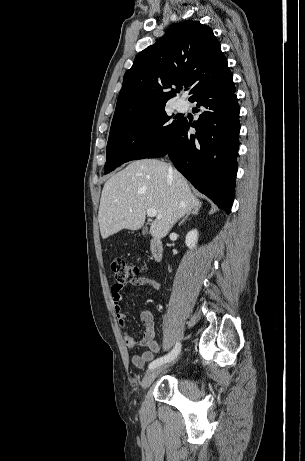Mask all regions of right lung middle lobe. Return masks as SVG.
Instances as JSON below:
<instances>
[{"label":"right lung middle lobe","mask_w":305,"mask_h":461,"mask_svg":"<svg viewBox=\"0 0 305 461\" xmlns=\"http://www.w3.org/2000/svg\"><path fill=\"white\" fill-rule=\"evenodd\" d=\"M164 107L127 117L111 126L105 174L125 162L146 158L162 147L180 122L172 120Z\"/></svg>","instance_id":"1"}]
</instances>
